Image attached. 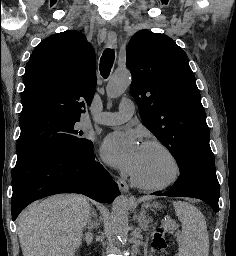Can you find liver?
I'll return each instance as SVG.
<instances>
[{"label":"liver","instance_id":"6515ba94","mask_svg":"<svg viewBox=\"0 0 236 256\" xmlns=\"http://www.w3.org/2000/svg\"><path fill=\"white\" fill-rule=\"evenodd\" d=\"M91 210L87 198L75 194L28 206L18 218L23 256H75Z\"/></svg>","mask_w":236,"mask_h":256}]
</instances>
